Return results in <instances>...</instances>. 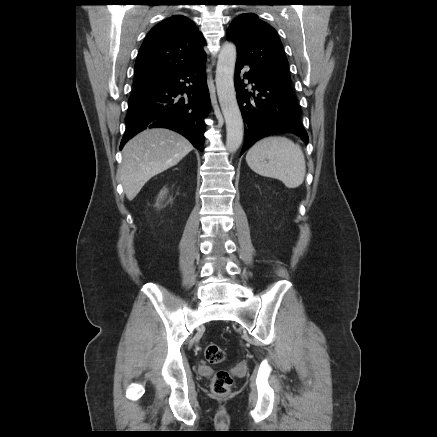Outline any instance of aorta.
<instances>
[{
  "instance_id": "1",
  "label": "aorta",
  "mask_w": 437,
  "mask_h": 437,
  "mask_svg": "<svg viewBox=\"0 0 437 437\" xmlns=\"http://www.w3.org/2000/svg\"><path fill=\"white\" fill-rule=\"evenodd\" d=\"M236 57V46L225 43L218 55L215 77L218 99L226 122V148L229 152L236 151L243 140V119L234 87Z\"/></svg>"
}]
</instances>
